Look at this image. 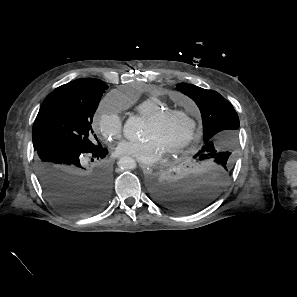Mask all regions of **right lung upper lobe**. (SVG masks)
I'll use <instances>...</instances> for the list:
<instances>
[{"label": "right lung upper lobe", "instance_id": "right-lung-upper-lobe-1", "mask_svg": "<svg viewBox=\"0 0 297 297\" xmlns=\"http://www.w3.org/2000/svg\"><path fill=\"white\" fill-rule=\"evenodd\" d=\"M102 83L99 79H93V78H84V79H77L75 81H72L68 83V85H88V86H95Z\"/></svg>", "mask_w": 297, "mask_h": 297}]
</instances>
